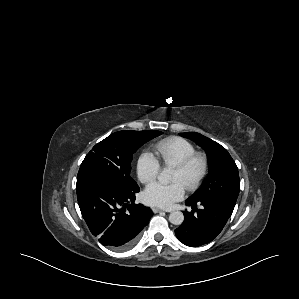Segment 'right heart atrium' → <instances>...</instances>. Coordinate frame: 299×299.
<instances>
[{"label": "right heart atrium", "mask_w": 299, "mask_h": 299, "mask_svg": "<svg viewBox=\"0 0 299 299\" xmlns=\"http://www.w3.org/2000/svg\"><path fill=\"white\" fill-rule=\"evenodd\" d=\"M160 171V163L150 152H142L136 162V173L142 183L153 181Z\"/></svg>", "instance_id": "right-heart-atrium-1"}]
</instances>
